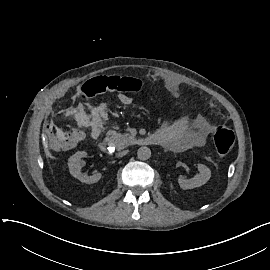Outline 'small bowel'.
<instances>
[{
	"mask_svg": "<svg viewBox=\"0 0 270 270\" xmlns=\"http://www.w3.org/2000/svg\"><path fill=\"white\" fill-rule=\"evenodd\" d=\"M155 79L161 80L174 96H179L180 83L173 77L157 73ZM118 100L123 105H130L132 98L126 94H120ZM210 132V126L202 116L192 122L177 120L161 125L156 134L159 136L162 146L172 152H181L194 147L202 146ZM46 139L57 151H69L73 149L79 138L76 135L63 137V132L58 127H51L46 132Z\"/></svg>",
	"mask_w": 270,
	"mask_h": 270,
	"instance_id": "obj_1",
	"label": "small bowel"
}]
</instances>
